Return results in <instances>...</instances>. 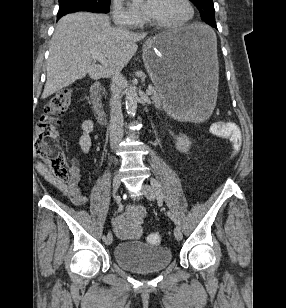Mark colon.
<instances>
[{
    "label": "colon",
    "instance_id": "1",
    "mask_svg": "<svg viewBox=\"0 0 286 308\" xmlns=\"http://www.w3.org/2000/svg\"><path fill=\"white\" fill-rule=\"evenodd\" d=\"M72 90L63 89L55 93L48 101L44 113L39 118L35 127V146L37 155L48 165L55 178L61 181H69L72 177L71 166L68 165L64 153L58 143V127L61 124L60 116L69 109L72 100ZM214 133L220 136H228L231 132L229 124L223 122L212 125ZM234 151L240 148V141L231 140ZM148 243L154 246L161 244L162 237L159 233H152L147 238Z\"/></svg>",
    "mask_w": 286,
    "mask_h": 308
}]
</instances>
